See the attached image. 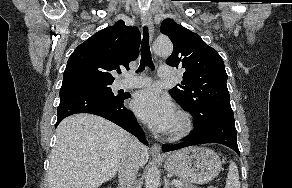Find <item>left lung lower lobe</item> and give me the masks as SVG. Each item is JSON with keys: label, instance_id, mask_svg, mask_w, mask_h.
Listing matches in <instances>:
<instances>
[{"label": "left lung lower lobe", "instance_id": "1", "mask_svg": "<svg viewBox=\"0 0 292 188\" xmlns=\"http://www.w3.org/2000/svg\"><path fill=\"white\" fill-rule=\"evenodd\" d=\"M205 143L223 144L239 154L233 112H222L213 115L203 125L195 127L191 136L184 142L175 145H164L162 151L169 152Z\"/></svg>", "mask_w": 292, "mask_h": 188}]
</instances>
